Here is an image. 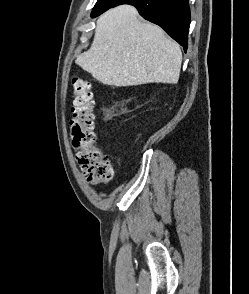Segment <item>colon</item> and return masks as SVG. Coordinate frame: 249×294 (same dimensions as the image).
Listing matches in <instances>:
<instances>
[{
	"label": "colon",
	"instance_id": "1",
	"mask_svg": "<svg viewBox=\"0 0 249 294\" xmlns=\"http://www.w3.org/2000/svg\"><path fill=\"white\" fill-rule=\"evenodd\" d=\"M73 116L70 121L71 144L77 151L80 169L91 184H106L113 177V166L102 149L96 145L94 131V100L91 85L79 76H72Z\"/></svg>",
	"mask_w": 249,
	"mask_h": 294
}]
</instances>
